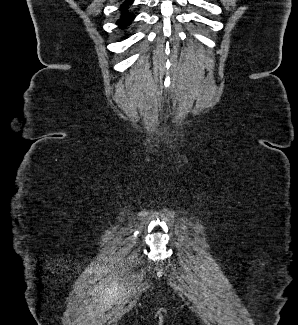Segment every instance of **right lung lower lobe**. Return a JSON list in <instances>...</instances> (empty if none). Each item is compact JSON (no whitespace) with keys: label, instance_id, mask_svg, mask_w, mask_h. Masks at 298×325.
I'll list each match as a JSON object with an SVG mask.
<instances>
[{"label":"right lung lower lobe","instance_id":"98d812e1","mask_svg":"<svg viewBox=\"0 0 298 325\" xmlns=\"http://www.w3.org/2000/svg\"><path fill=\"white\" fill-rule=\"evenodd\" d=\"M133 0H126L122 5L120 10L122 11V15L120 19L117 21L121 28H125L130 25L131 21L134 19L135 15L128 12L129 5H131Z\"/></svg>","mask_w":298,"mask_h":325}]
</instances>
